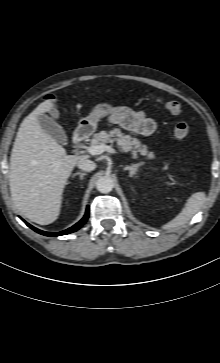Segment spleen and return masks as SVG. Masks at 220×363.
<instances>
[{
	"instance_id": "obj_1",
	"label": "spleen",
	"mask_w": 220,
	"mask_h": 363,
	"mask_svg": "<svg viewBox=\"0 0 220 363\" xmlns=\"http://www.w3.org/2000/svg\"><path fill=\"white\" fill-rule=\"evenodd\" d=\"M206 201V195L204 192H196L194 193L188 200L183 208L182 212L173 219L171 222L166 224L164 228L166 229H175L187 221H189L202 207V205Z\"/></svg>"
}]
</instances>
